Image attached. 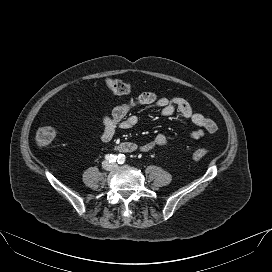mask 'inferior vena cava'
<instances>
[{
	"label": "inferior vena cava",
	"mask_w": 272,
	"mask_h": 272,
	"mask_svg": "<svg viewBox=\"0 0 272 272\" xmlns=\"http://www.w3.org/2000/svg\"><path fill=\"white\" fill-rule=\"evenodd\" d=\"M103 166L107 169V170H111L113 168V164H109L108 162H104Z\"/></svg>",
	"instance_id": "602c4592"
}]
</instances>
